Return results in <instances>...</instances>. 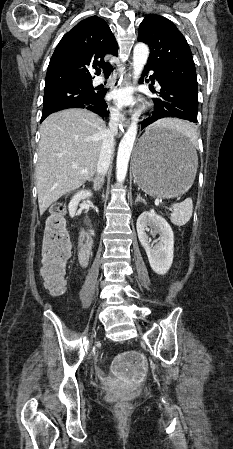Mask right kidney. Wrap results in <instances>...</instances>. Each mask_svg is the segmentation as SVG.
<instances>
[{"label":"right kidney","instance_id":"ca27d5eb","mask_svg":"<svg viewBox=\"0 0 233 449\" xmlns=\"http://www.w3.org/2000/svg\"><path fill=\"white\" fill-rule=\"evenodd\" d=\"M93 194L90 192V191H88V190H81V191H78L74 196H73V198L71 199V201H70V203H69V206H68V209H69V215L71 216V217H74L75 216V213H76V210H77V207H78V204H79V202H80V200H82V199H85V198H89V197H91Z\"/></svg>","mask_w":233,"mask_h":449}]
</instances>
